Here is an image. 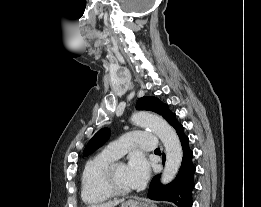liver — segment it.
<instances>
[{
  "label": "liver",
  "instance_id": "obj_1",
  "mask_svg": "<svg viewBox=\"0 0 261 207\" xmlns=\"http://www.w3.org/2000/svg\"><path fill=\"white\" fill-rule=\"evenodd\" d=\"M121 202H123V200H113V201H109V202L102 203V204L90 205L87 207H115L116 205H118Z\"/></svg>",
  "mask_w": 261,
  "mask_h": 207
}]
</instances>
